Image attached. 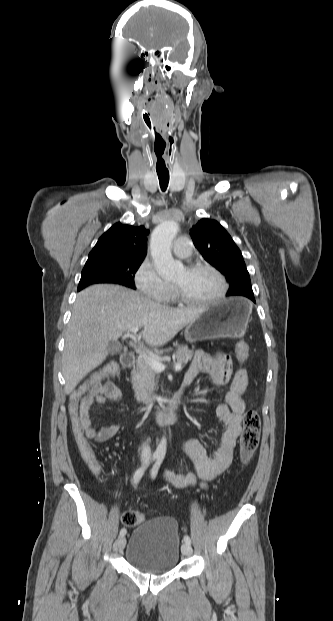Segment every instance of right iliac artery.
<instances>
[{
  "label": "right iliac artery",
  "mask_w": 333,
  "mask_h": 621,
  "mask_svg": "<svg viewBox=\"0 0 333 621\" xmlns=\"http://www.w3.org/2000/svg\"><path fill=\"white\" fill-rule=\"evenodd\" d=\"M158 457H159V455L154 454V455H153V457H152V459H151V462H153V461L157 460V459H158ZM147 466H148V464H146V465H144V466L140 467L139 469H137V470L135 471V473H134V475H133V482H134V484H138V482H139V481H140V479L142 478V476H143V474H144L145 470L147 469ZM126 533H127V531H126V529H125V528H122V529L120 530V536H122V537H123V536H125V535H126Z\"/></svg>",
  "instance_id": "1"
}]
</instances>
